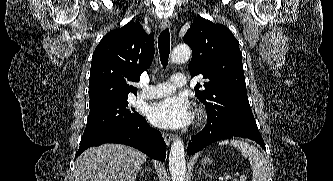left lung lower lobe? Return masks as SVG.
Returning <instances> with one entry per match:
<instances>
[{
	"label": "left lung lower lobe",
	"mask_w": 333,
	"mask_h": 181,
	"mask_svg": "<svg viewBox=\"0 0 333 181\" xmlns=\"http://www.w3.org/2000/svg\"><path fill=\"white\" fill-rule=\"evenodd\" d=\"M207 116L208 121L205 128L193 135L188 144V155L195 154L213 142L233 137L251 139L266 150L265 143L258 129L239 123L226 113L212 112L207 113Z\"/></svg>",
	"instance_id": "left-lung-lower-lobe-1"
}]
</instances>
